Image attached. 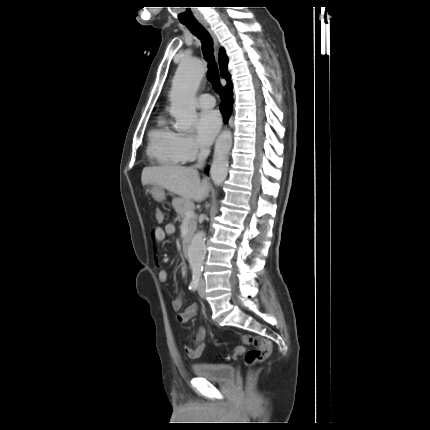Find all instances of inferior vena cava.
<instances>
[{"label":"inferior vena cava","mask_w":430,"mask_h":430,"mask_svg":"<svg viewBox=\"0 0 430 430\" xmlns=\"http://www.w3.org/2000/svg\"><path fill=\"white\" fill-rule=\"evenodd\" d=\"M210 150L208 148H201L198 155V163L193 166V169L203 168L206 158L208 157Z\"/></svg>","instance_id":"602c4592"}]
</instances>
